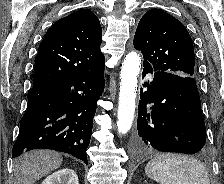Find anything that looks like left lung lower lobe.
<instances>
[{
	"instance_id": "1",
	"label": "left lung lower lobe",
	"mask_w": 224,
	"mask_h": 184,
	"mask_svg": "<svg viewBox=\"0 0 224 184\" xmlns=\"http://www.w3.org/2000/svg\"><path fill=\"white\" fill-rule=\"evenodd\" d=\"M148 73L154 78L144 83L147 91L140 94L139 146L184 154L204 151L206 128L194 77L144 67L143 77Z\"/></svg>"
}]
</instances>
